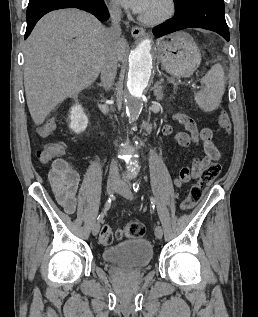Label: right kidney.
I'll list each match as a JSON object with an SVG mask.
<instances>
[{"label": "right kidney", "mask_w": 258, "mask_h": 317, "mask_svg": "<svg viewBox=\"0 0 258 317\" xmlns=\"http://www.w3.org/2000/svg\"><path fill=\"white\" fill-rule=\"evenodd\" d=\"M70 128L74 132H82L87 128L88 116H86L81 104H74L70 110Z\"/></svg>", "instance_id": "obj_1"}]
</instances>
